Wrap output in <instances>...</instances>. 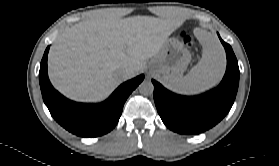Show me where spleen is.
<instances>
[{
    "mask_svg": "<svg viewBox=\"0 0 279 166\" xmlns=\"http://www.w3.org/2000/svg\"><path fill=\"white\" fill-rule=\"evenodd\" d=\"M197 38L203 47L202 58L187 75L166 83L180 94H198L214 87L225 70V54L218 40L211 33L200 30Z\"/></svg>",
    "mask_w": 279,
    "mask_h": 166,
    "instance_id": "obj_1",
    "label": "spleen"
}]
</instances>
